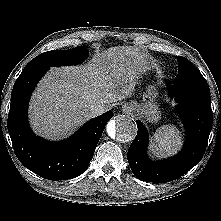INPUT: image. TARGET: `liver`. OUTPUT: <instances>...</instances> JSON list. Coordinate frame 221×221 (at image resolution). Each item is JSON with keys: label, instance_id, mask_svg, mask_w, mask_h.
<instances>
[{"label": "liver", "instance_id": "liver-1", "mask_svg": "<svg viewBox=\"0 0 221 221\" xmlns=\"http://www.w3.org/2000/svg\"><path fill=\"white\" fill-rule=\"evenodd\" d=\"M147 55L133 46H117L95 55L82 66L51 68L38 84L29 106L36 134L62 139L92 117L90 106L130 96L148 69Z\"/></svg>", "mask_w": 221, "mask_h": 221}]
</instances>
